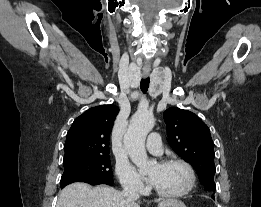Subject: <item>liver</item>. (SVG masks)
<instances>
[{
	"label": "liver",
	"mask_w": 261,
	"mask_h": 207,
	"mask_svg": "<svg viewBox=\"0 0 261 207\" xmlns=\"http://www.w3.org/2000/svg\"><path fill=\"white\" fill-rule=\"evenodd\" d=\"M57 207H140V203L128 200L121 192L109 186L92 188L86 183L75 182L61 191Z\"/></svg>",
	"instance_id": "1"
}]
</instances>
